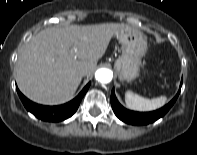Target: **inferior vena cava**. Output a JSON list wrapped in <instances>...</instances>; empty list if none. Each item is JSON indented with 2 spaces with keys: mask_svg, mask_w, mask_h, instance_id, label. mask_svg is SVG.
<instances>
[{
  "mask_svg": "<svg viewBox=\"0 0 197 155\" xmlns=\"http://www.w3.org/2000/svg\"><path fill=\"white\" fill-rule=\"evenodd\" d=\"M79 74H80L81 76H85V75L87 74V72H86V70H81V71L79 72Z\"/></svg>",
  "mask_w": 197,
  "mask_h": 155,
  "instance_id": "1",
  "label": "inferior vena cava"
}]
</instances>
